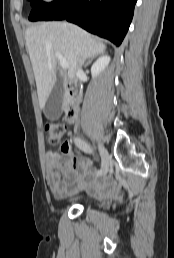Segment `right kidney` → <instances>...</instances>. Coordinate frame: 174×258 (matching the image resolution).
<instances>
[{
  "mask_svg": "<svg viewBox=\"0 0 174 258\" xmlns=\"http://www.w3.org/2000/svg\"><path fill=\"white\" fill-rule=\"evenodd\" d=\"M110 62V57L105 55L98 58L95 63L91 67V74L92 77H97L104 69L108 66Z\"/></svg>",
  "mask_w": 174,
  "mask_h": 258,
  "instance_id": "right-kidney-1",
  "label": "right kidney"
}]
</instances>
